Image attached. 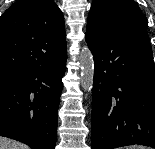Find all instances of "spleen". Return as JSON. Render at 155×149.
Wrapping results in <instances>:
<instances>
[{
    "instance_id": "spleen-1",
    "label": "spleen",
    "mask_w": 155,
    "mask_h": 149,
    "mask_svg": "<svg viewBox=\"0 0 155 149\" xmlns=\"http://www.w3.org/2000/svg\"><path fill=\"white\" fill-rule=\"evenodd\" d=\"M126 149H151V148L145 147V146H140V145H134V146H129Z\"/></svg>"
}]
</instances>
